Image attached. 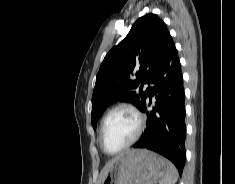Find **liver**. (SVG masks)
<instances>
[{"label":"liver","instance_id":"1","mask_svg":"<svg viewBox=\"0 0 235 184\" xmlns=\"http://www.w3.org/2000/svg\"><path fill=\"white\" fill-rule=\"evenodd\" d=\"M119 158H121V156H116V158H113V160H111V162H108V164H106V166H104V168L101 172L102 180H103L104 176H106L111 164H113V162H116V160H119Z\"/></svg>","mask_w":235,"mask_h":184}]
</instances>
